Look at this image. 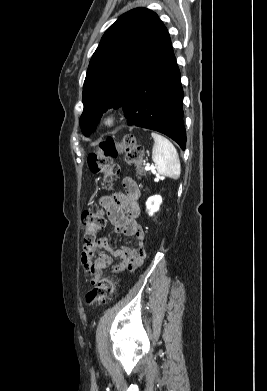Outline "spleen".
Returning a JSON list of instances; mask_svg holds the SVG:
<instances>
[{"mask_svg": "<svg viewBox=\"0 0 267 391\" xmlns=\"http://www.w3.org/2000/svg\"><path fill=\"white\" fill-rule=\"evenodd\" d=\"M154 146L152 149V160L158 173L177 180L180 177V160L174 145L164 136L152 132Z\"/></svg>", "mask_w": 267, "mask_h": 391, "instance_id": "spleen-1", "label": "spleen"}]
</instances>
